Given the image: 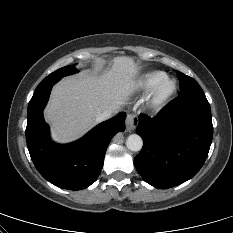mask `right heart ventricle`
<instances>
[{
	"instance_id": "right-heart-ventricle-1",
	"label": "right heart ventricle",
	"mask_w": 233,
	"mask_h": 233,
	"mask_svg": "<svg viewBox=\"0 0 233 233\" xmlns=\"http://www.w3.org/2000/svg\"><path fill=\"white\" fill-rule=\"evenodd\" d=\"M165 74L161 71H153L146 73L138 82V88L142 90H149L153 88L157 82L164 77Z\"/></svg>"
}]
</instances>
